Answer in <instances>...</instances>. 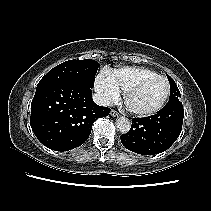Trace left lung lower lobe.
Here are the masks:
<instances>
[{
  "instance_id": "1",
  "label": "left lung lower lobe",
  "mask_w": 211,
  "mask_h": 211,
  "mask_svg": "<svg viewBox=\"0 0 211 211\" xmlns=\"http://www.w3.org/2000/svg\"><path fill=\"white\" fill-rule=\"evenodd\" d=\"M184 117L180 101L167 103L157 114L133 118L128 133L121 135L122 144L130 151L143 155L161 153L179 137Z\"/></svg>"
}]
</instances>
